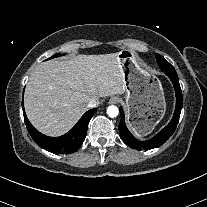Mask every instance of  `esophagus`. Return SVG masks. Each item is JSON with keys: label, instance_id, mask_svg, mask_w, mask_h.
<instances>
[{"label": "esophagus", "instance_id": "obj_1", "mask_svg": "<svg viewBox=\"0 0 207 207\" xmlns=\"http://www.w3.org/2000/svg\"><path fill=\"white\" fill-rule=\"evenodd\" d=\"M109 103H111V104H116V103H118V98H117V97H112V98H110Z\"/></svg>", "mask_w": 207, "mask_h": 207}]
</instances>
